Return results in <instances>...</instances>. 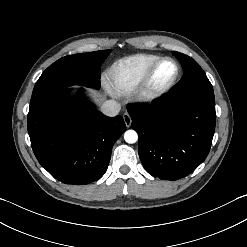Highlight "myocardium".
<instances>
[{
	"mask_svg": "<svg viewBox=\"0 0 247 247\" xmlns=\"http://www.w3.org/2000/svg\"><path fill=\"white\" fill-rule=\"evenodd\" d=\"M166 60L172 61L175 64L176 75L173 78V80L169 84H167L165 87L157 89V90H153L150 87L153 74L156 68L158 67V65L161 62L166 61ZM180 77H181V66L179 62L176 59L169 57V56L160 57L148 68L142 80L137 85V87L134 89V92H133L134 97L137 101L141 103H145V104L154 103L164 98L166 95H168L175 88V86L179 82Z\"/></svg>",
	"mask_w": 247,
	"mask_h": 247,
	"instance_id": "myocardium-1",
	"label": "myocardium"
}]
</instances>
